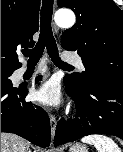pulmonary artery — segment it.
<instances>
[{"label":"pulmonary artery","mask_w":123,"mask_h":152,"mask_svg":"<svg viewBox=\"0 0 123 152\" xmlns=\"http://www.w3.org/2000/svg\"><path fill=\"white\" fill-rule=\"evenodd\" d=\"M62 60L64 62H67V63H72V64H75L77 65V67L80 69V70H83L84 69V66L82 64V61L81 59L76 56V55H72V54H65L63 55V58ZM27 68L25 66H23L22 68L19 69L18 71V74L21 76L23 75L25 72H26Z\"/></svg>","instance_id":"1"}]
</instances>
